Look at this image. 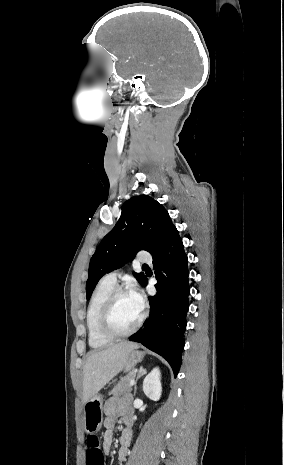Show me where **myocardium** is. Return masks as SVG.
<instances>
[{
  "instance_id": "f54148a6",
  "label": "myocardium",
  "mask_w": 284,
  "mask_h": 465,
  "mask_svg": "<svg viewBox=\"0 0 284 465\" xmlns=\"http://www.w3.org/2000/svg\"><path fill=\"white\" fill-rule=\"evenodd\" d=\"M124 295H131V293L125 289L113 290V292L110 294V296L108 297L103 307L100 320H99L100 334L103 337L111 341H114V342L122 341V340L132 337L139 330V328L141 327L147 315L145 309L142 308V314H141L139 321L128 333L122 334V335L115 333L112 327L114 309H115L118 299Z\"/></svg>"
}]
</instances>
